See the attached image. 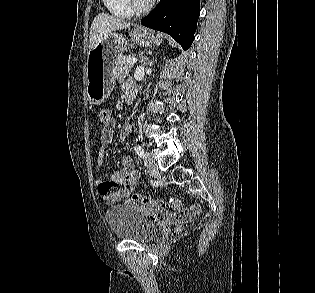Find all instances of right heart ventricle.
I'll use <instances>...</instances> for the list:
<instances>
[{
    "label": "right heart ventricle",
    "instance_id": "obj_1",
    "mask_svg": "<svg viewBox=\"0 0 315 293\" xmlns=\"http://www.w3.org/2000/svg\"><path fill=\"white\" fill-rule=\"evenodd\" d=\"M102 3L108 13L115 18L128 19L133 15L125 0H102Z\"/></svg>",
    "mask_w": 315,
    "mask_h": 293
}]
</instances>
